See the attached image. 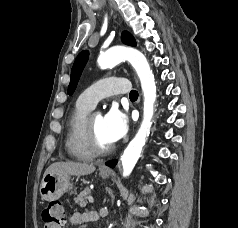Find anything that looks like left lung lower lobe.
Segmentation results:
<instances>
[{
    "label": "left lung lower lobe",
    "instance_id": "obj_1",
    "mask_svg": "<svg viewBox=\"0 0 238 228\" xmlns=\"http://www.w3.org/2000/svg\"><path fill=\"white\" fill-rule=\"evenodd\" d=\"M116 163H117V160H112V161L107 162L106 165H108L110 167H115Z\"/></svg>",
    "mask_w": 238,
    "mask_h": 228
}]
</instances>
